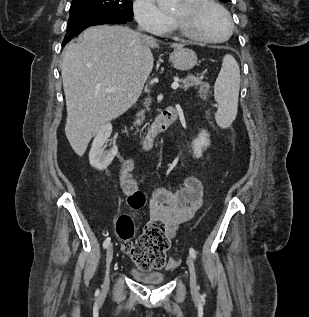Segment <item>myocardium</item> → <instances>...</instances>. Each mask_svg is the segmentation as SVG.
Segmentation results:
<instances>
[{
  "mask_svg": "<svg viewBox=\"0 0 309 317\" xmlns=\"http://www.w3.org/2000/svg\"><path fill=\"white\" fill-rule=\"evenodd\" d=\"M183 6H184V11L186 15H194L206 7H213L219 10L227 21L228 32L224 37H221V38L206 37V36L195 33L185 24L182 18L173 15L172 19H173L175 29L181 36L189 40L200 42V43L216 44V43H223L227 41L233 34L234 23L231 18V15L217 1L215 0H185V2L183 3Z\"/></svg>",
  "mask_w": 309,
  "mask_h": 317,
  "instance_id": "myocardium-1",
  "label": "myocardium"
}]
</instances>
